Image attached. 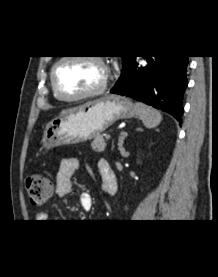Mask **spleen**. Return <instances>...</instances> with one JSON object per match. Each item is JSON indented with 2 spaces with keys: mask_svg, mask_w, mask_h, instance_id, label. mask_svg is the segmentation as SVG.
<instances>
[{
  "mask_svg": "<svg viewBox=\"0 0 218 277\" xmlns=\"http://www.w3.org/2000/svg\"><path fill=\"white\" fill-rule=\"evenodd\" d=\"M137 115L142 120L146 128H154L158 126L162 120V115L156 109L140 102L135 103Z\"/></svg>",
  "mask_w": 218,
  "mask_h": 277,
  "instance_id": "spleen-1",
  "label": "spleen"
}]
</instances>
